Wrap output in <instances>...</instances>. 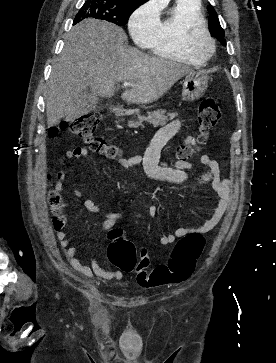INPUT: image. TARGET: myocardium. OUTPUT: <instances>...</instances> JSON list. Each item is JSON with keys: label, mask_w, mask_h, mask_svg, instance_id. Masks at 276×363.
<instances>
[{"label": "myocardium", "mask_w": 276, "mask_h": 363, "mask_svg": "<svg viewBox=\"0 0 276 363\" xmlns=\"http://www.w3.org/2000/svg\"><path fill=\"white\" fill-rule=\"evenodd\" d=\"M202 33L208 41L209 50L204 52L197 48L193 44L194 38L199 34ZM184 45L186 51L193 56L194 58L198 59L199 61L206 62L209 60L214 52H215V40L212 37L210 31L208 30L207 26L201 24H191L187 27L185 32V39Z\"/></svg>", "instance_id": "f54148a6"}]
</instances>
